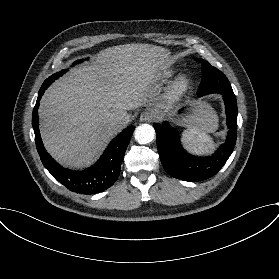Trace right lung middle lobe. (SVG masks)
Masks as SVG:
<instances>
[{
  "label": "right lung middle lobe",
  "mask_w": 279,
  "mask_h": 279,
  "mask_svg": "<svg viewBox=\"0 0 279 279\" xmlns=\"http://www.w3.org/2000/svg\"><path fill=\"white\" fill-rule=\"evenodd\" d=\"M79 62H82V60L76 61L75 63H79ZM65 72H66V70H62L61 72L55 73L54 75L49 77L47 80H45L46 84L50 85L55 79L62 76Z\"/></svg>",
  "instance_id": "dd1d6c3e"
}]
</instances>
